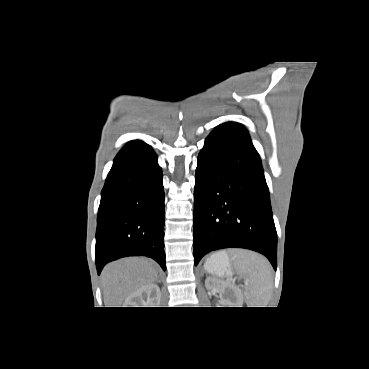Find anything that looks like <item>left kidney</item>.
Returning <instances> with one entry per match:
<instances>
[{
    "mask_svg": "<svg viewBox=\"0 0 369 369\" xmlns=\"http://www.w3.org/2000/svg\"><path fill=\"white\" fill-rule=\"evenodd\" d=\"M205 286L208 290H214L224 294L225 298L221 299V302L228 305V307H242L243 296L238 288H233L226 282L213 277L206 278Z\"/></svg>",
    "mask_w": 369,
    "mask_h": 369,
    "instance_id": "1",
    "label": "left kidney"
}]
</instances>
